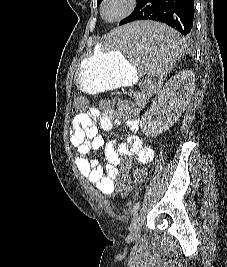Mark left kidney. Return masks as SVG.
Masks as SVG:
<instances>
[{
    "label": "left kidney",
    "mask_w": 227,
    "mask_h": 267,
    "mask_svg": "<svg viewBox=\"0 0 227 267\" xmlns=\"http://www.w3.org/2000/svg\"><path fill=\"white\" fill-rule=\"evenodd\" d=\"M194 90L195 74L191 70H182L169 79L142 116L140 126L143 133L154 137L168 130L185 111ZM166 98L168 104L164 102Z\"/></svg>",
    "instance_id": "1"
}]
</instances>
